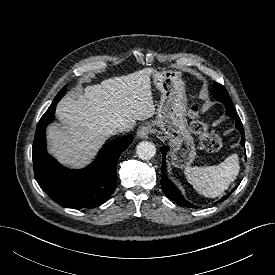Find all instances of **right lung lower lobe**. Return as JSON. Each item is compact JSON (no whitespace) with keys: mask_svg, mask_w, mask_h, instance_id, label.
Returning a JSON list of instances; mask_svg holds the SVG:
<instances>
[{"mask_svg":"<svg viewBox=\"0 0 275 275\" xmlns=\"http://www.w3.org/2000/svg\"><path fill=\"white\" fill-rule=\"evenodd\" d=\"M60 99L55 97L37 124L32 155L35 179L47 195L61 206L76 209L98 207L113 193L118 159L133 138L122 136L105 144L95 161L85 169L63 167L47 153L45 135Z\"/></svg>","mask_w":275,"mask_h":275,"instance_id":"98d812e1","label":"right lung lower lobe"}]
</instances>
